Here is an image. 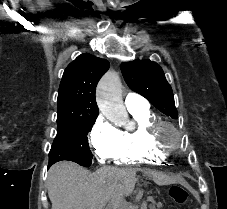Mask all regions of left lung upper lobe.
Masks as SVG:
<instances>
[{
	"label": "left lung upper lobe",
	"mask_w": 227,
	"mask_h": 209,
	"mask_svg": "<svg viewBox=\"0 0 227 209\" xmlns=\"http://www.w3.org/2000/svg\"><path fill=\"white\" fill-rule=\"evenodd\" d=\"M121 71L130 89L144 96L165 115L177 118L172 88L157 63L135 60L123 63Z\"/></svg>",
	"instance_id": "obj_1"
}]
</instances>
